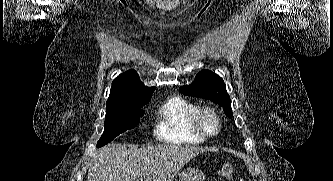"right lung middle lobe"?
<instances>
[{
    "label": "right lung middle lobe",
    "instance_id": "dd1d6c3e",
    "mask_svg": "<svg viewBox=\"0 0 333 181\" xmlns=\"http://www.w3.org/2000/svg\"><path fill=\"white\" fill-rule=\"evenodd\" d=\"M145 104L120 108L116 110L106 111L104 132L97 142V147H102L111 142L121 133L136 127L143 116L142 107Z\"/></svg>",
    "mask_w": 333,
    "mask_h": 181
}]
</instances>
